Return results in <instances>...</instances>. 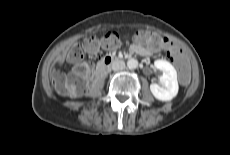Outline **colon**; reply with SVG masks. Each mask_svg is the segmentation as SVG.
<instances>
[{
	"instance_id": "5ec220e1",
	"label": "colon",
	"mask_w": 230,
	"mask_h": 155,
	"mask_svg": "<svg viewBox=\"0 0 230 155\" xmlns=\"http://www.w3.org/2000/svg\"><path fill=\"white\" fill-rule=\"evenodd\" d=\"M133 40L139 44L151 47H164L168 56L178 66V75L181 85L187 87L192 80V69L190 57L182 53L175 44L169 42L157 34L151 32H138ZM121 45V38L117 32L106 33L101 40L95 37H88L81 44H76L70 48L67 59L74 64V75L68 79L58 68L52 70V84L54 89L61 94H70L76 89H82L86 85V78L92 71V66L85 62L87 55L98 56L100 47L107 50H115Z\"/></svg>"
}]
</instances>
